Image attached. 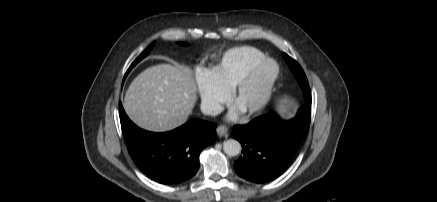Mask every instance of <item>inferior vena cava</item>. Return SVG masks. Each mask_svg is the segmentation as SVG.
I'll list each match as a JSON object with an SVG mask.
<instances>
[{"instance_id": "1", "label": "inferior vena cava", "mask_w": 437, "mask_h": 202, "mask_svg": "<svg viewBox=\"0 0 437 202\" xmlns=\"http://www.w3.org/2000/svg\"><path fill=\"white\" fill-rule=\"evenodd\" d=\"M223 110L222 106L216 103L204 102L201 104V111L203 114L215 116Z\"/></svg>"}]
</instances>
